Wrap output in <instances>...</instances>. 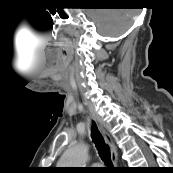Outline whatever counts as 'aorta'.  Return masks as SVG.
I'll return each mask as SVG.
<instances>
[{"label":"aorta","instance_id":"aorta-1","mask_svg":"<svg viewBox=\"0 0 173 173\" xmlns=\"http://www.w3.org/2000/svg\"><path fill=\"white\" fill-rule=\"evenodd\" d=\"M87 148L84 144L78 143L66 151L61 158L60 164L64 167H82L87 160Z\"/></svg>","mask_w":173,"mask_h":173}]
</instances>
